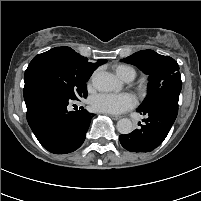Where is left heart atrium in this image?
I'll use <instances>...</instances> for the list:
<instances>
[{
  "mask_svg": "<svg viewBox=\"0 0 201 201\" xmlns=\"http://www.w3.org/2000/svg\"><path fill=\"white\" fill-rule=\"evenodd\" d=\"M94 110L108 114H120L135 105V99L131 94L100 93L91 100Z\"/></svg>",
  "mask_w": 201,
  "mask_h": 201,
  "instance_id": "39dd6f15",
  "label": "left heart atrium"
}]
</instances>
